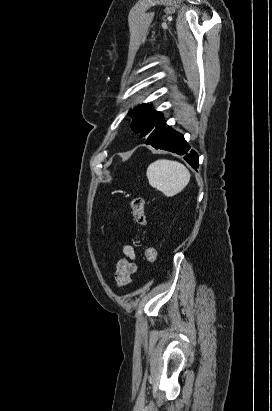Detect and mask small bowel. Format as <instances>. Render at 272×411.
<instances>
[{
    "label": "small bowel",
    "instance_id": "c3829d8e",
    "mask_svg": "<svg viewBox=\"0 0 272 411\" xmlns=\"http://www.w3.org/2000/svg\"><path fill=\"white\" fill-rule=\"evenodd\" d=\"M122 255L115 265L114 278L118 287H126L130 284L132 276L137 272L135 250L131 245L121 246Z\"/></svg>",
    "mask_w": 272,
    "mask_h": 411
}]
</instances>
